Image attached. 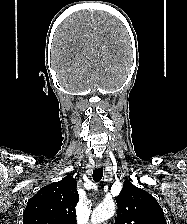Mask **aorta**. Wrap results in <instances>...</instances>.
<instances>
[{"label": "aorta", "instance_id": "obj_1", "mask_svg": "<svg viewBox=\"0 0 187 224\" xmlns=\"http://www.w3.org/2000/svg\"><path fill=\"white\" fill-rule=\"evenodd\" d=\"M115 213L114 202L100 204L91 215L92 224H100L111 218Z\"/></svg>", "mask_w": 187, "mask_h": 224}]
</instances>
